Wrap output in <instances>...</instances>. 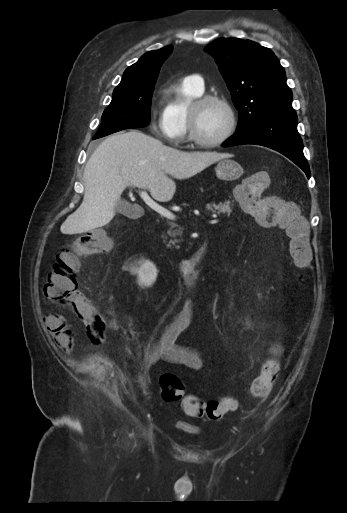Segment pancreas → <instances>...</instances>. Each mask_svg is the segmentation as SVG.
Returning a JSON list of instances; mask_svg holds the SVG:
<instances>
[{
  "label": "pancreas",
  "instance_id": "1",
  "mask_svg": "<svg viewBox=\"0 0 347 513\" xmlns=\"http://www.w3.org/2000/svg\"><path fill=\"white\" fill-rule=\"evenodd\" d=\"M207 209L212 211L213 213H217L218 215L224 214V216L229 217L232 213V204L229 200L225 201L224 203L220 202L219 204L210 203L207 205ZM177 225H171V229L176 227ZM168 234L172 237H175L176 235H181L182 231L181 228H177L175 230H169Z\"/></svg>",
  "mask_w": 347,
  "mask_h": 513
}]
</instances>
